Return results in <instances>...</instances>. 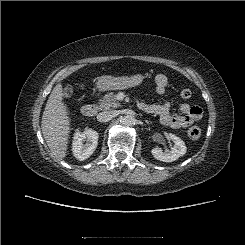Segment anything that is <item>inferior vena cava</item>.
<instances>
[{
    "label": "inferior vena cava",
    "instance_id": "inferior-vena-cava-1",
    "mask_svg": "<svg viewBox=\"0 0 245 245\" xmlns=\"http://www.w3.org/2000/svg\"><path fill=\"white\" fill-rule=\"evenodd\" d=\"M116 116L115 111H104L97 115V119L99 122H108L112 120Z\"/></svg>",
    "mask_w": 245,
    "mask_h": 245
}]
</instances>
